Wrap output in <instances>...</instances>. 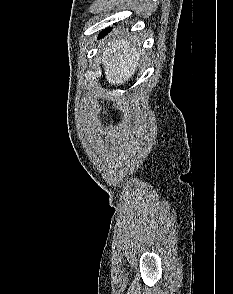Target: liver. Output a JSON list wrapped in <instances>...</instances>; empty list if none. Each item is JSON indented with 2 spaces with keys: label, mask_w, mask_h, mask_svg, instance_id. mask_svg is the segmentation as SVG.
I'll return each instance as SVG.
<instances>
[{
  "label": "liver",
  "mask_w": 233,
  "mask_h": 294,
  "mask_svg": "<svg viewBox=\"0 0 233 294\" xmlns=\"http://www.w3.org/2000/svg\"><path fill=\"white\" fill-rule=\"evenodd\" d=\"M100 62L109 84L121 85L128 81L139 66L141 52L124 38H113L102 48Z\"/></svg>",
  "instance_id": "obj_1"
}]
</instances>
